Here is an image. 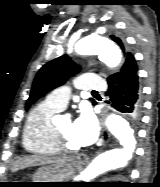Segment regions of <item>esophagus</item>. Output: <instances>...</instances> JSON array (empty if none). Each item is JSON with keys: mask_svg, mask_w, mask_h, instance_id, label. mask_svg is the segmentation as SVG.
Instances as JSON below:
<instances>
[{"mask_svg": "<svg viewBox=\"0 0 160 187\" xmlns=\"http://www.w3.org/2000/svg\"><path fill=\"white\" fill-rule=\"evenodd\" d=\"M76 160L79 163L84 164V163H87L89 161V157L86 154H78L76 156Z\"/></svg>", "mask_w": 160, "mask_h": 187, "instance_id": "34e87169", "label": "esophagus"}]
</instances>
